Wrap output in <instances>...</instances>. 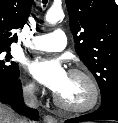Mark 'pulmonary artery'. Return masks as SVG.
I'll return each instance as SVG.
<instances>
[{"mask_svg":"<svg viewBox=\"0 0 118 123\" xmlns=\"http://www.w3.org/2000/svg\"><path fill=\"white\" fill-rule=\"evenodd\" d=\"M66 43L65 32L61 29H56L49 34L34 36L29 46L41 51H60L65 48Z\"/></svg>","mask_w":118,"mask_h":123,"instance_id":"1","label":"pulmonary artery"}]
</instances>
